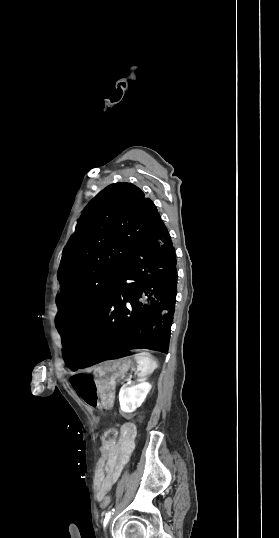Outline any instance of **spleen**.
<instances>
[{"label": "spleen", "instance_id": "obj_1", "mask_svg": "<svg viewBox=\"0 0 279 538\" xmlns=\"http://www.w3.org/2000/svg\"><path fill=\"white\" fill-rule=\"evenodd\" d=\"M134 360H136V364L139 366V376H148V374H152V372L158 368L157 362H154L152 356L147 354V352L135 354Z\"/></svg>", "mask_w": 279, "mask_h": 538}]
</instances>
